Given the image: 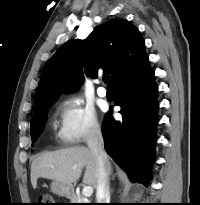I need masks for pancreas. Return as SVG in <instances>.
Instances as JSON below:
<instances>
[{
    "label": "pancreas",
    "instance_id": "obj_1",
    "mask_svg": "<svg viewBox=\"0 0 200 205\" xmlns=\"http://www.w3.org/2000/svg\"><path fill=\"white\" fill-rule=\"evenodd\" d=\"M72 203H89L81 195H75L71 198Z\"/></svg>",
    "mask_w": 200,
    "mask_h": 205
}]
</instances>
